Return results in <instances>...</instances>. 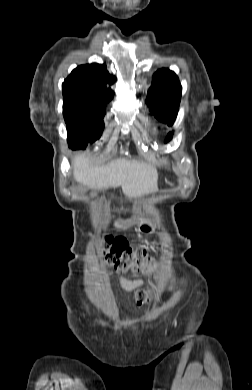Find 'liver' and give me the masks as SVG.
Wrapping results in <instances>:
<instances>
[{"instance_id":"liver-1","label":"liver","mask_w":252,"mask_h":390,"mask_svg":"<svg viewBox=\"0 0 252 390\" xmlns=\"http://www.w3.org/2000/svg\"><path fill=\"white\" fill-rule=\"evenodd\" d=\"M74 179L90 188L108 189L121 186L124 194L135 197L153 191L152 168L136 159L119 158L107 165H94L90 157L78 154L73 159Z\"/></svg>"}]
</instances>
